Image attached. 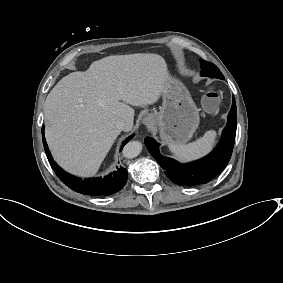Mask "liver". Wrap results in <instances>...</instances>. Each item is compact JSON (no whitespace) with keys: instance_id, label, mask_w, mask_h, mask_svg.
Segmentation results:
<instances>
[{"instance_id":"obj_1","label":"liver","mask_w":283,"mask_h":283,"mask_svg":"<svg viewBox=\"0 0 283 283\" xmlns=\"http://www.w3.org/2000/svg\"><path fill=\"white\" fill-rule=\"evenodd\" d=\"M171 79L164 59L154 54L106 57L62 78L44 106L46 138L57 161L71 173L96 174L121 133L117 121L132 127L130 105L156 104Z\"/></svg>"}]
</instances>
